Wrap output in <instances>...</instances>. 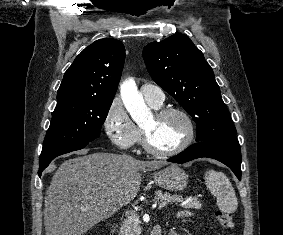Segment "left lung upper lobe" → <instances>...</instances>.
Masks as SVG:
<instances>
[{"mask_svg": "<svg viewBox=\"0 0 283 235\" xmlns=\"http://www.w3.org/2000/svg\"><path fill=\"white\" fill-rule=\"evenodd\" d=\"M143 58L153 80L196 122V141L236 136L213 70L186 35L149 43Z\"/></svg>", "mask_w": 283, "mask_h": 235, "instance_id": "1", "label": "left lung upper lobe"}]
</instances>
